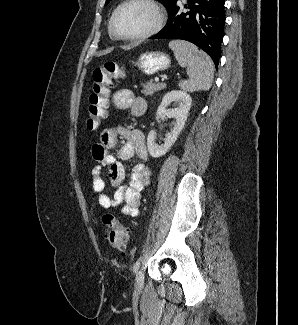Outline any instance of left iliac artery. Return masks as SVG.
I'll use <instances>...</instances> for the list:
<instances>
[{"label": "left iliac artery", "instance_id": "obj_1", "mask_svg": "<svg viewBox=\"0 0 298 325\" xmlns=\"http://www.w3.org/2000/svg\"><path fill=\"white\" fill-rule=\"evenodd\" d=\"M140 261H141V258H139V259L134 263V266H133V272H134V273H137V271L139 270V267H140Z\"/></svg>", "mask_w": 298, "mask_h": 325}]
</instances>
